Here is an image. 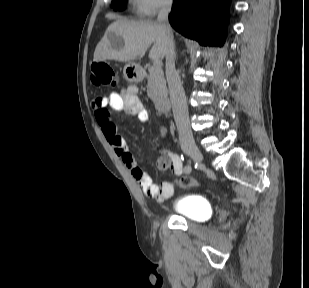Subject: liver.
I'll list each match as a JSON object with an SVG mask.
<instances>
[{
	"label": "liver",
	"mask_w": 309,
	"mask_h": 288,
	"mask_svg": "<svg viewBox=\"0 0 309 288\" xmlns=\"http://www.w3.org/2000/svg\"><path fill=\"white\" fill-rule=\"evenodd\" d=\"M111 35L121 37L124 46L120 49L114 48L110 39ZM151 44L153 46L149 57L164 58L167 49L166 38L158 23L117 19L108 26L105 35L96 46L93 61L131 62L142 58Z\"/></svg>",
	"instance_id": "liver-1"
}]
</instances>
